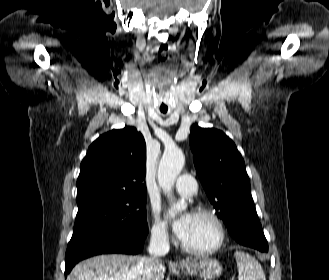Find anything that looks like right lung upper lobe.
<instances>
[{
	"label": "right lung upper lobe",
	"mask_w": 329,
	"mask_h": 280,
	"mask_svg": "<svg viewBox=\"0 0 329 280\" xmlns=\"http://www.w3.org/2000/svg\"><path fill=\"white\" fill-rule=\"evenodd\" d=\"M146 144L134 127L112 130L88 148L77 179V199L91 196L144 197Z\"/></svg>",
	"instance_id": "obj_1"
}]
</instances>
